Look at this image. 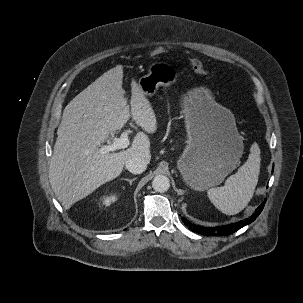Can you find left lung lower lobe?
<instances>
[{
    "mask_svg": "<svg viewBox=\"0 0 303 303\" xmlns=\"http://www.w3.org/2000/svg\"><path fill=\"white\" fill-rule=\"evenodd\" d=\"M266 201V200H265ZM265 201L256 209V212L248 219H245L244 221H239L236 223H231L225 226H219V227H201L197 226L195 224L190 223L186 219H183V222L185 225L189 227L190 230L193 232H197L199 234L205 235V236H225L230 235L236 231H238L240 228L250 224L253 222L258 215L261 213V211L264 208Z\"/></svg>",
    "mask_w": 303,
    "mask_h": 303,
    "instance_id": "obj_1",
    "label": "left lung lower lobe"
}]
</instances>
